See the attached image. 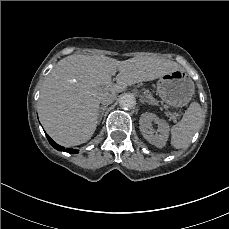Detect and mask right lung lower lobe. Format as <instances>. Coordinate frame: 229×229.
<instances>
[{
    "label": "right lung lower lobe",
    "mask_w": 229,
    "mask_h": 229,
    "mask_svg": "<svg viewBox=\"0 0 229 229\" xmlns=\"http://www.w3.org/2000/svg\"><path fill=\"white\" fill-rule=\"evenodd\" d=\"M45 134H46V133H45ZM46 137H47L49 143H50L55 149H57V150H59V151L69 152V153H72V154L78 153V150H77V149H71V148L65 149L64 147L58 145V144L55 143V142L50 138V136L47 135V134H46Z\"/></svg>",
    "instance_id": "1"
}]
</instances>
